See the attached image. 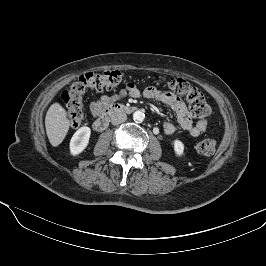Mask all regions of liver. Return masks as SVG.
<instances>
[{
  "instance_id": "1",
  "label": "liver",
  "mask_w": 266,
  "mask_h": 266,
  "mask_svg": "<svg viewBox=\"0 0 266 266\" xmlns=\"http://www.w3.org/2000/svg\"><path fill=\"white\" fill-rule=\"evenodd\" d=\"M47 137L52 146L56 147L62 143L68 133L70 121L66 110L59 104L53 103L45 117Z\"/></svg>"
}]
</instances>
